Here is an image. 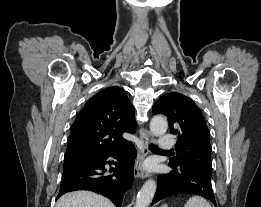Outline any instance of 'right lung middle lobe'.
<instances>
[{
	"label": "right lung middle lobe",
	"mask_w": 261,
	"mask_h": 207,
	"mask_svg": "<svg viewBox=\"0 0 261 207\" xmlns=\"http://www.w3.org/2000/svg\"><path fill=\"white\" fill-rule=\"evenodd\" d=\"M88 160H90V159L81 160V161H75V162H64V166L71 165V164H76V163H80V162H84V161H88Z\"/></svg>",
	"instance_id": "right-lung-middle-lobe-1"
}]
</instances>
